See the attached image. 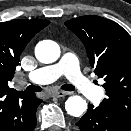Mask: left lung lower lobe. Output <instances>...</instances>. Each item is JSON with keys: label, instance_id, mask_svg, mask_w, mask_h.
<instances>
[{"label": "left lung lower lobe", "instance_id": "0a47b994", "mask_svg": "<svg viewBox=\"0 0 131 131\" xmlns=\"http://www.w3.org/2000/svg\"><path fill=\"white\" fill-rule=\"evenodd\" d=\"M76 126L79 131H131V123L102 105H89Z\"/></svg>", "mask_w": 131, "mask_h": 131}]
</instances>
